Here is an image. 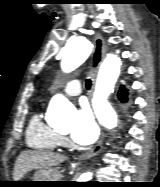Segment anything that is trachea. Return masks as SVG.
Wrapping results in <instances>:
<instances>
[{
	"label": "trachea",
	"instance_id": "obj_1",
	"mask_svg": "<svg viewBox=\"0 0 160 187\" xmlns=\"http://www.w3.org/2000/svg\"><path fill=\"white\" fill-rule=\"evenodd\" d=\"M85 85H86V88H87V89H90L91 86H92V81H91L90 79H87Z\"/></svg>",
	"mask_w": 160,
	"mask_h": 187
}]
</instances>
